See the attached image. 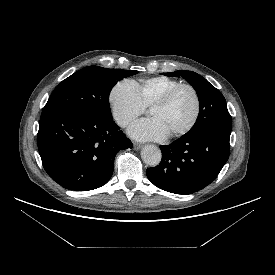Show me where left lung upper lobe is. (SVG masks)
I'll use <instances>...</instances> for the list:
<instances>
[{
  "mask_svg": "<svg viewBox=\"0 0 275 275\" xmlns=\"http://www.w3.org/2000/svg\"><path fill=\"white\" fill-rule=\"evenodd\" d=\"M166 76H182L198 94L200 111L194 126L186 133L202 131L231 132V116L222 93L212 86L205 78L192 71L178 70L163 73Z\"/></svg>",
  "mask_w": 275,
  "mask_h": 275,
  "instance_id": "1",
  "label": "left lung upper lobe"
}]
</instances>
